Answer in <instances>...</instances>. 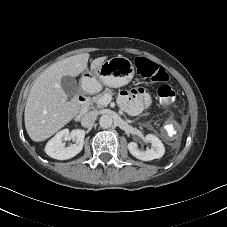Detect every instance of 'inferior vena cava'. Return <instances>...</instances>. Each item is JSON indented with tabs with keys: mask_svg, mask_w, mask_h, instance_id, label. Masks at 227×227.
<instances>
[{
	"mask_svg": "<svg viewBox=\"0 0 227 227\" xmlns=\"http://www.w3.org/2000/svg\"><path fill=\"white\" fill-rule=\"evenodd\" d=\"M98 113L96 111L87 112L81 119V125L85 128H90L93 126L97 119Z\"/></svg>",
	"mask_w": 227,
	"mask_h": 227,
	"instance_id": "1",
	"label": "inferior vena cava"
}]
</instances>
